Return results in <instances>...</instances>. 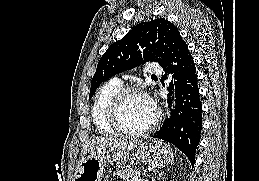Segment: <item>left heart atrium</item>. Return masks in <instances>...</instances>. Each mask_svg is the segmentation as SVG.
Instances as JSON below:
<instances>
[{
	"label": "left heart atrium",
	"instance_id": "1",
	"mask_svg": "<svg viewBox=\"0 0 259 181\" xmlns=\"http://www.w3.org/2000/svg\"><path fill=\"white\" fill-rule=\"evenodd\" d=\"M150 103H151V106L153 107V109H155V105L150 101Z\"/></svg>",
	"mask_w": 259,
	"mask_h": 181
}]
</instances>
